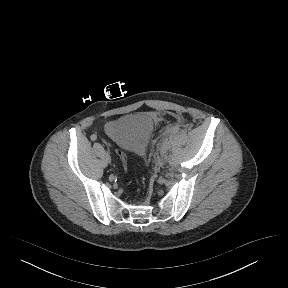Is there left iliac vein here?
Listing matches in <instances>:
<instances>
[{"label":"left iliac vein","mask_w":288,"mask_h":288,"mask_svg":"<svg viewBox=\"0 0 288 288\" xmlns=\"http://www.w3.org/2000/svg\"><path fill=\"white\" fill-rule=\"evenodd\" d=\"M161 157H162V159H165V158H166V153H165L164 151H162Z\"/></svg>","instance_id":"1"}]
</instances>
